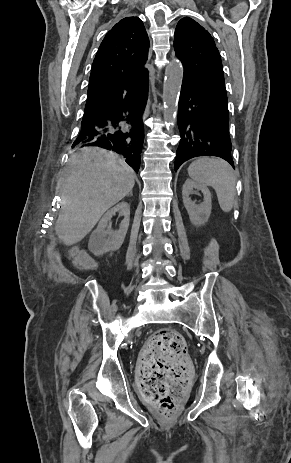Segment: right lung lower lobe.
Instances as JSON below:
<instances>
[{
	"mask_svg": "<svg viewBox=\"0 0 291 463\" xmlns=\"http://www.w3.org/2000/svg\"><path fill=\"white\" fill-rule=\"evenodd\" d=\"M148 86L126 99L122 106L85 120L73 147L99 146L120 154L136 172L140 167L144 141L142 114ZM125 122V123H124Z\"/></svg>",
	"mask_w": 291,
	"mask_h": 463,
	"instance_id": "obj_1",
	"label": "right lung lower lobe"
}]
</instances>
